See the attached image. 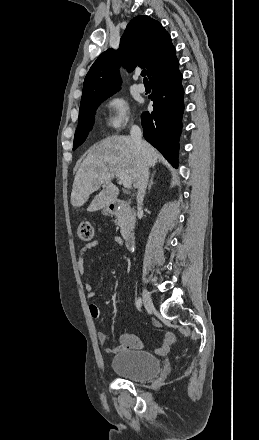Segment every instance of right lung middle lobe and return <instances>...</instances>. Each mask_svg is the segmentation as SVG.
<instances>
[{
    "label": "right lung middle lobe",
    "mask_w": 259,
    "mask_h": 440,
    "mask_svg": "<svg viewBox=\"0 0 259 440\" xmlns=\"http://www.w3.org/2000/svg\"><path fill=\"white\" fill-rule=\"evenodd\" d=\"M108 97L109 96L100 98L98 100L80 106L79 120L74 136L73 150L80 146L87 138L88 133L92 129L94 123V113L97 107L102 101H104Z\"/></svg>",
    "instance_id": "obj_1"
}]
</instances>
